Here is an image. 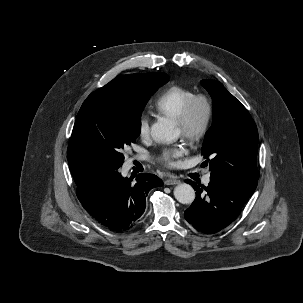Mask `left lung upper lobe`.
<instances>
[{
    "mask_svg": "<svg viewBox=\"0 0 303 303\" xmlns=\"http://www.w3.org/2000/svg\"><path fill=\"white\" fill-rule=\"evenodd\" d=\"M213 101V122L205 136L202 154L210 155L211 174L221 176L253 194L259 178L258 131L254 120L226 88L216 80H202Z\"/></svg>",
    "mask_w": 303,
    "mask_h": 303,
    "instance_id": "left-lung-upper-lobe-1",
    "label": "left lung upper lobe"
}]
</instances>
